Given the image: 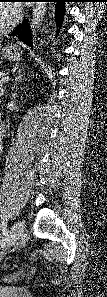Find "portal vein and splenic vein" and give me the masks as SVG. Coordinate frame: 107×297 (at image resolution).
Instances as JSON below:
<instances>
[{
    "label": "portal vein and splenic vein",
    "mask_w": 107,
    "mask_h": 297,
    "mask_svg": "<svg viewBox=\"0 0 107 297\" xmlns=\"http://www.w3.org/2000/svg\"><path fill=\"white\" fill-rule=\"evenodd\" d=\"M10 80L9 76H5L4 78H2V82L7 83Z\"/></svg>",
    "instance_id": "18ae733b"
}]
</instances>
